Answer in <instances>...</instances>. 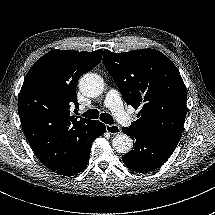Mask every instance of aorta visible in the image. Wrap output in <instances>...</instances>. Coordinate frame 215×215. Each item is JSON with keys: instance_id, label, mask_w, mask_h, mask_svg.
Wrapping results in <instances>:
<instances>
[{"instance_id": "obj_1", "label": "aorta", "mask_w": 215, "mask_h": 215, "mask_svg": "<svg viewBox=\"0 0 215 215\" xmlns=\"http://www.w3.org/2000/svg\"><path fill=\"white\" fill-rule=\"evenodd\" d=\"M80 90L87 97H96L102 93V80L99 76L87 73L79 81ZM113 148L121 154L132 150L133 141L130 136L120 133L112 139Z\"/></svg>"}]
</instances>
